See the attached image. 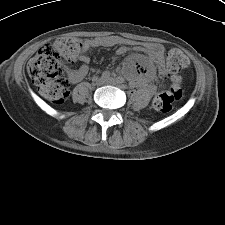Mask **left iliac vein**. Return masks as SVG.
<instances>
[{
    "mask_svg": "<svg viewBox=\"0 0 225 225\" xmlns=\"http://www.w3.org/2000/svg\"><path fill=\"white\" fill-rule=\"evenodd\" d=\"M106 82L109 83V84H116V83H118L117 79H115V78H108L106 80Z\"/></svg>",
    "mask_w": 225,
    "mask_h": 225,
    "instance_id": "left-iliac-vein-1",
    "label": "left iliac vein"
}]
</instances>
